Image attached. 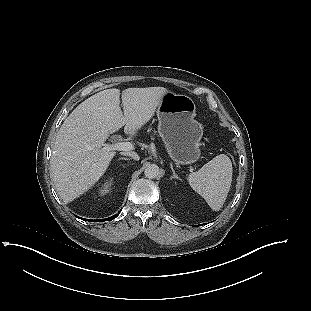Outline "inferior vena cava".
Returning <instances> with one entry per match:
<instances>
[{
    "instance_id": "inferior-vena-cava-1",
    "label": "inferior vena cava",
    "mask_w": 311,
    "mask_h": 311,
    "mask_svg": "<svg viewBox=\"0 0 311 311\" xmlns=\"http://www.w3.org/2000/svg\"><path fill=\"white\" fill-rule=\"evenodd\" d=\"M123 155L130 156L131 158L137 161L140 159L139 155L136 152H124Z\"/></svg>"
}]
</instances>
